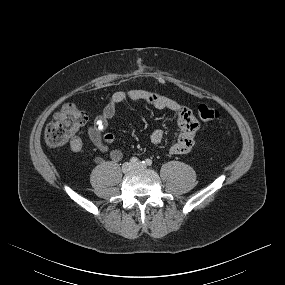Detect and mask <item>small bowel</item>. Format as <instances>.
I'll use <instances>...</instances> for the list:
<instances>
[{
	"label": "small bowel",
	"mask_w": 285,
	"mask_h": 285,
	"mask_svg": "<svg viewBox=\"0 0 285 285\" xmlns=\"http://www.w3.org/2000/svg\"><path fill=\"white\" fill-rule=\"evenodd\" d=\"M127 100L143 101L158 110H168L174 113L180 128V133L176 141L171 145L170 152L180 155L188 153L191 150L195 136L200 128L191 110L168 97L143 89H130L117 91L112 94L102 113L96 117L93 124L87 129L90 141L100 152H107L109 145L114 142V134L105 132V130L108 127L109 120L115 115L117 106ZM150 139L153 144L160 145L164 139V131L162 129L154 130ZM69 146L72 152H80L83 148L82 139L77 134L74 135L70 139ZM122 157L123 154L121 150L113 149L110 151V158L114 162H119ZM95 161L98 162L100 159L96 158Z\"/></svg>",
	"instance_id": "c3829d8e"
}]
</instances>
